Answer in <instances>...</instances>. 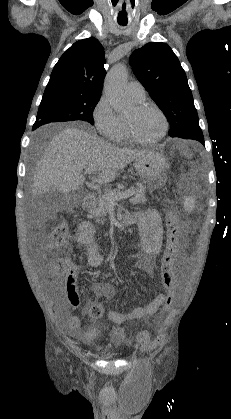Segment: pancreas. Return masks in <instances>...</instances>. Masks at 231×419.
Wrapping results in <instances>:
<instances>
[{
	"label": "pancreas",
	"mask_w": 231,
	"mask_h": 419,
	"mask_svg": "<svg viewBox=\"0 0 231 419\" xmlns=\"http://www.w3.org/2000/svg\"><path fill=\"white\" fill-rule=\"evenodd\" d=\"M130 190L133 191V197L130 199V202L134 205L136 204H145L147 202V199L145 197V188H136V187H132L130 188ZM118 193L120 192L119 189H114L111 191L106 192L104 195H99L96 197L95 202L93 203V205H91L89 207V217L90 218H96V222L98 223H104L105 219H99L100 217L104 216L107 212L109 207L111 206V202L108 199L107 194L108 193Z\"/></svg>",
	"instance_id": "cf45deb5"
}]
</instances>
